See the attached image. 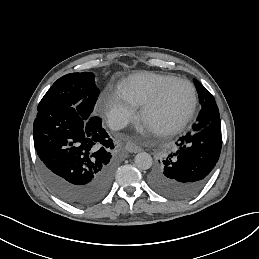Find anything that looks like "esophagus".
Wrapping results in <instances>:
<instances>
[{
    "label": "esophagus",
    "mask_w": 259,
    "mask_h": 259,
    "mask_svg": "<svg viewBox=\"0 0 259 259\" xmlns=\"http://www.w3.org/2000/svg\"><path fill=\"white\" fill-rule=\"evenodd\" d=\"M126 150L130 153H138L141 151V147L137 146L134 143L128 142L126 144Z\"/></svg>",
    "instance_id": "obj_1"
}]
</instances>
